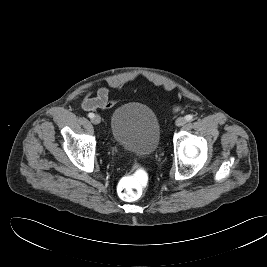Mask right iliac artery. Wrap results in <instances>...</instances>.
Instances as JSON below:
<instances>
[{"label": "right iliac artery", "instance_id": "1", "mask_svg": "<svg viewBox=\"0 0 267 267\" xmlns=\"http://www.w3.org/2000/svg\"><path fill=\"white\" fill-rule=\"evenodd\" d=\"M88 117H89V118H93V117H94V114H93V113H89V114H88Z\"/></svg>", "mask_w": 267, "mask_h": 267}]
</instances>
